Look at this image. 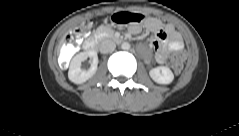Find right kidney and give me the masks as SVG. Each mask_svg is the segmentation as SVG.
Returning <instances> with one entry per match:
<instances>
[{
  "mask_svg": "<svg viewBox=\"0 0 239 136\" xmlns=\"http://www.w3.org/2000/svg\"><path fill=\"white\" fill-rule=\"evenodd\" d=\"M90 58V68L88 70H83L81 64L83 61ZM98 56L97 52L93 50L80 52L70 62V67L68 71V78L71 82L75 84H82L91 78L97 71L98 66Z\"/></svg>",
  "mask_w": 239,
  "mask_h": 136,
  "instance_id": "obj_1",
  "label": "right kidney"
}]
</instances>
